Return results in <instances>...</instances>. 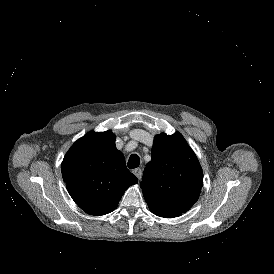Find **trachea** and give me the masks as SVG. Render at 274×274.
Wrapping results in <instances>:
<instances>
[{
	"mask_svg": "<svg viewBox=\"0 0 274 274\" xmlns=\"http://www.w3.org/2000/svg\"><path fill=\"white\" fill-rule=\"evenodd\" d=\"M140 164V158L138 155L136 154H132L130 157H129V160H128V167L130 169H134V168H137Z\"/></svg>",
	"mask_w": 274,
	"mask_h": 274,
	"instance_id": "obj_1",
	"label": "trachea"
}]
</instances>
